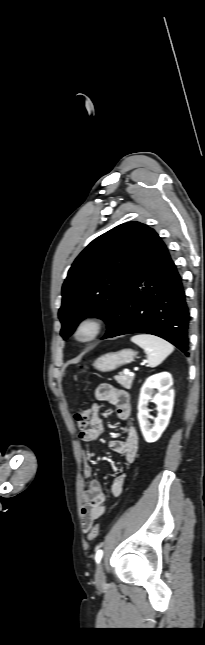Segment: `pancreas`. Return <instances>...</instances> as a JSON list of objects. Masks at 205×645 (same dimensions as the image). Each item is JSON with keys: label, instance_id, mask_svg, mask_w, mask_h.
Masks as SVG:
<instances>
[{"label": "pancreas", "instance_id": "1", "mask_svg": "<svg viewBox=\"0 0 205 645\" xmlns=\"http://www.w3.org/2000/svg\"><path fill=\"white\" fill-rule=\"evenodd\" d=\"M114 378L122 387H124L126 389L131 388V385H132V382H133V379H134L133 376L126 375L124 373H120L119 375L115 376Z\"/></svg>", "mask_w": 205, "mask_h": 645}]
</instances>
